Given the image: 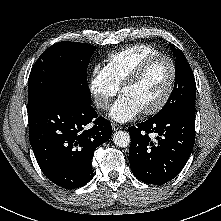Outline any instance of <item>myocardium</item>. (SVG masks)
<instances>
[{"instance_id": "f54148a6", "label": "myocardium", "mask_w": 221, "mask_h": 221, "mask_svg": "<svg viewBox=\"0 0 221 221\" xmlns=\"http://www.w3.org/2000/svg\"><path fill=\"white\" fill-rule=\"evenodd\" d=\"M160 58L165 59L169 62L170 67H171V77L169 80L167 90L165 94L163 95V97L160 99V101L155 106L141 111L142 114L146 116L155 115L159 113L167 105V103L169 102L173 94L174 87H175L176 80H177V66H176L174 59L170 55L161 53V52L150 55L146 57L140 64H138L132 70V72L129 74V76L123 81V83L120 86V93H122L125 88L134 85L142 77V75L144 74L148 66L154 60L160 59Z\"/></svg>"}]
</instances>
